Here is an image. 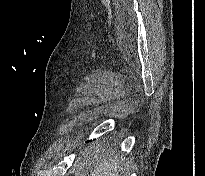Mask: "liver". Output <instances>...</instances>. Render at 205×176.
<instances>
[{
    "label": "liver",
    "mask_w": 205,
    "mask_h": 176,
    "mask_svg": "<svg viewBox=\"0 0 205 176\" xmlns=\"http://www.w3.org/2000/svg\"><path fill=\"white\" fill-rule=\"evenodd\" d=\"M84 157L89 160L91 165L90 176H119V163L114 154L95 155L93 157L86 150Z\"/></svg>",
    "instance_id": "obj_1"
}]
</instances>
